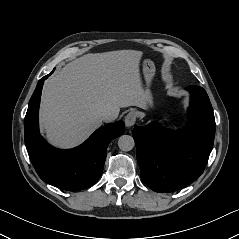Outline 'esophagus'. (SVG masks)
I'll list each match as a JSON object with an SVG mask.
<instances>
[{"instance_id":"1","label":"esophagus","mask_w":239,"mask_h":239,"mask_svg":"<svg viewBox=\"0 0 239 239\" xmlns=\"http://www.w3.org/2000/svg\"><path fill=\"white\" fill-rule=\"evenodd\" d=\"M137 118V113L135 111H130L126 116H125V125L127 127H131L135 124Z\"/></svg>"}]
</instances>
